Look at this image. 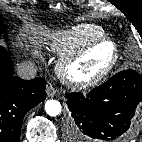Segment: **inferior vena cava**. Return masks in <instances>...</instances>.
<instances>
[{
	"instance_id": "inferior-vena-cava-1",
	"label": "inferior vena cava",
	"mask_w": 142,
	"mask_h": 142,
	"mask_svg": "<svg viewBox=\"0 0 142 142\" xmlns=\"http://www.w3.org/2000/svg\"><path fill=\"white\" fill-rule=\"evenodd\" d=\"M17 75L24 80H31L36 77L37 66L30 62L24 61L17 66Z\"/></svg>"
}]
</instances>
